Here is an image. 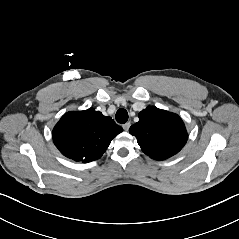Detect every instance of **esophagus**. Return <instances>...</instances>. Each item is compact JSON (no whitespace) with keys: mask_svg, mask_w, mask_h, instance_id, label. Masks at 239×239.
Here are the masks:
<instances>
[{"mask_svg":"<svg viewBox=\"0 0 239 239\" xmlns=\"http://www.w3.org/2000/svg\"><path fill=\"white\" fill-rule=\"evenodd\" d=\"M130 126H131V124H130L129 122H127V123H125V124L122 125V127H123V129H124L125 131H128L129 128H130Z\"/></svg>","mask_w":239,"mask_h":239,"instance_id":"esophagus-1","label":"esophagus"}]
</instances>
